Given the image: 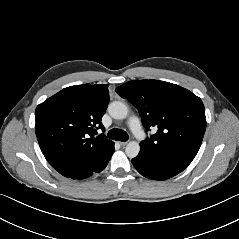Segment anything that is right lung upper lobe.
Segmentation results:
<instances>
[{"mask_svg":"<svg viewBox=\"0 0 239 239\" xmlns=\"http://www.w3.org/2000/svg\"><path fill=\"white\" fill-rule=\"evenodd\" d=\"M109 101L108 85L64 88L35 110L36 136L51 166L65 177L97 165L114 142L96 129Z\"/></svg>","mask_w":239,"mask_h":239,"instance_id":"1","label":"right lung upper lobe"}]
</instances>
